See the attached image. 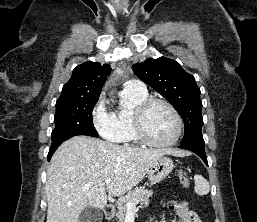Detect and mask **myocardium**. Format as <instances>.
Returning <instances> with one entry per match:
<instances>
[{"label": "myocardium", "mask_w": 257, "mask_h": 222, "mask_svg": "<svg viewBox=\"0 0 257 222\" xmlns=\"http://www.w3.org/2000/svg\"><path fill=\"white\" fill-rule=\"evenodd\" d=\"M155 104H162L166 106L171 111L176 121L175 135L173 136L172 139L165 142H157L152 140L148 136L145 129V118L147 116V113L151 109V107L154 106ZM134 127H135L137 138L141 143L150 147L164 148V147H170L176 144L177 141L180 139L183 132V119L180 113L178 112V110L175 108V106L168 100L163 98H157V97H148L137 107L134 113Z\"/></svg>", "instance_id": "myocardium-1"}]
</instances>
